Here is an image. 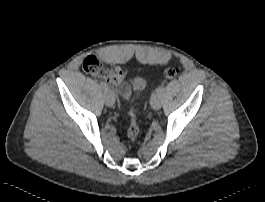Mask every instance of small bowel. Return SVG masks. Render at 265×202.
I'll use <instances>...</instances> for the list:
<instances>
[{
  "label": "small bowel",
  "mask_w": 265,
  "mask_h": 202,
  "mask_svg": "<svg viewBox=\"0 0 265 202\" xmlns=\"http://www.w3.org/2000/svg\"><path fill=\"white\" fill-rule=\"evenodd\" d=\"M101 59L97 55H88L82 62V70L97 78L104 79L113 89H115L123 98L131 96V84L125 80V74L118 65H113L107 69L100 68Z\"/></svg>",
  "instance_id": "obj_1"
}]
</instances>
